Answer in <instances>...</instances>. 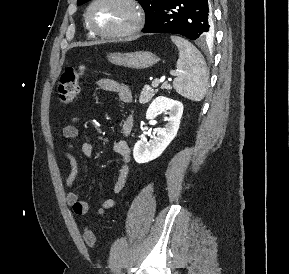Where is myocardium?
<instances>
[{
    "instance_id": "1",
    "label": "myocardium",
    "mask_w": 289,
    "mask_h": 274,
    "mask_svg": "<svg viewBox=\"0 0 289 274\" xmlns=\"http://www.w3.org/2000/svg\"><path fill=\"white\" fill-rule=\"evenodd\" d=\"M101 1L103 0H92L86 9L85 22L90 32L103 38L120 39L130 37L141 30L145 21V13L138 0H119L120 2L128 5L132 10V21L128 26L116 31H102L97 29L92 24L90 14L92 8Z\"/></svg>"
}]
</instances>
